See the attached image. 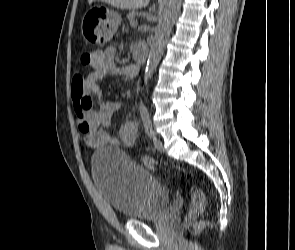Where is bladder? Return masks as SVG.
Segmentation results:
<instances>
[{
    "mask_svg": "<svg viewBox=\"0 0 295 250\" xmlns=\"http://www.w3.org/2000/svg\"><path fill=\"white\" fill-rule=\"evenodd\" d=\"M95 186L103 199L130 220H156L166 211L171 195L156 178L135 166L128 155L104 147L91 157Z\"/></svg>",
    "mask_w": 295,
    "mask_h": 250,
    "instance_id": "bladder-1",
    "label": "bladder"
}]
</instances>
